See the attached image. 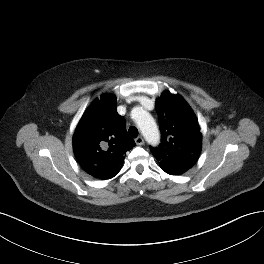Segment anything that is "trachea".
Wrapping results in <instances>:
<instances>
[{"label":"trachea","mask_w":264,"mask_h":264,"mask_svg":"<svg viewBox=\"0 0 264 264\" xmlns=\"http://www.w3.org/2000/svg\"><path fill=\"white\" fill-rule=\"evenodd\" d=\"M128 133H129V135H130L131 137H133V138H135V137L138 136V130H137V128L134 127V126H131V127L129 128Z\"/></svg>","instance_id":"trachea-1"}]
</instances>
